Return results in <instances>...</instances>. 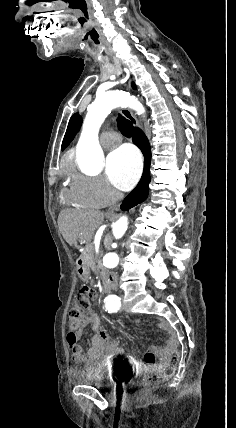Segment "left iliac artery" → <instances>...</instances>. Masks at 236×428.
Segmentation results:
<instances>
[{"label": "left iliac artery", "instance_id": "obj_1", "mask_svg": "<svg viewBox=\"0 0 236 428\" xmlns=\"http://www.w3.org/2000/svg\"><path fill=\"white\" fill-rule=\"evenodd\" d=\"M120 298L116 295H109L104 299L106 311L108 313L117 312L121 307Z\"/></svg>", "mask_w": 236, "mask_h": 428}]
</instances>
